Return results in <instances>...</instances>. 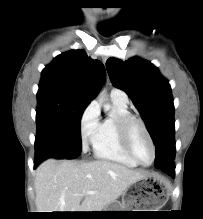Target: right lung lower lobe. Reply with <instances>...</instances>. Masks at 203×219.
I'll list each match as a JSON object with an SVG mask.
<instances>
[{
	"instance_id": "right-lung-lower-lobe-1",
	"label": "right lung lower lobe",
	"mask_w": 203,
	"mask_h": 219,
	"mask_svg": "<svg viewBox=\"0 0 203 219\" xmlns=\"http://www.w3.org/2000/svg\"><path fill=\"white\" fill-rule=\"evenodd\" d=\"M42 162V160H40V159H37L36 157H35V161H34V167H37L38 166V164H40Z\"/></svg>"
}]
</instances>
